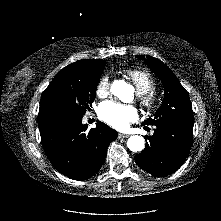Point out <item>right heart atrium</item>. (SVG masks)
<instances>
[{
    "mask_svg": "<svg viewBox=\"0 0 221 221\" xmlns=\"http://www.w3.org/2000/svg\"><path fill=\"white\" fill-rule=\"evenodd\" d=\"M111 89V79L108 74H104L100 77L96 92L99 96H105L110 92Z\"/></svg>",
    "mask_w": 221,
    "mask_h": 221,
    "instance_id": "1",
    "label": "right heart atrium"
}]
</instances>
